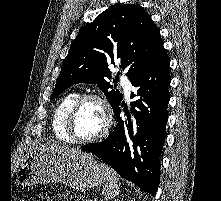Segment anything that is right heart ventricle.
Wrapping results in <instances>:
<instances>
[{
  "label": "right heart ventricle",
  "instance_id": "obj_1",
  "mask_svg": "<svg viewBox=\"0 0 221 201\" xmlns=\"http://www.w3.org/2000/svg\"><path fill=\"white\" fill-rule=\"evenodd\" d=\"M80 97V93L77 91L67 93L58 103L52 118V128L56 138L60 141L71 143L72 140L66 131V120L68 113Z\"/></svg>",
  "mask_w": 221,
  "mask_h": 201
}]
</instances>
